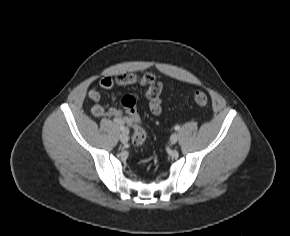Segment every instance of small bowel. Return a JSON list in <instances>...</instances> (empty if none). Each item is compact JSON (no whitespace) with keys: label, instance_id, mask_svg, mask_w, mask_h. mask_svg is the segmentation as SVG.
I'll list each match as a JSON object with an SVG mask.
<instances>
[{"label":"small bowel","instance_id":"c3829d8e","mask_svg":"<svg viewBox=\"0 0 290 236\" xmlns=\"http://www.w3.org/2000/svg\"><path fill=\"white\" fill-rule=\"evenodd\" d=\"M139 84L146 87L145 96L149 103V109L153 115H160L162 112V84L159 82L155 75L152 73H141V74H122L116 78L109 76L103 77L99 81V86L102 89H112L114 86H126ZM88 96L94 103L92 107V113L96 117H113L115 122L124 124L129 122L128 117L119 109L110 107L106 109L101 103V94L97 88L90 89ZM130 123V122H129Z\"/></svg>","mask_w":290,"mask_h":236}]
</instances>
